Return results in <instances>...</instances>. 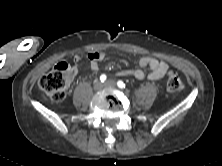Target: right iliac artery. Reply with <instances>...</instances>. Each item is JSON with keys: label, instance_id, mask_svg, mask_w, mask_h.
<instances>
[{"label": "right iliac artery", "instance_id": "1", "mask_svg": "<svg viewBox=\"0 0 222 166\" xmlns=\"http://www.w3.org/2000/svg\"><path fill=\"white\" fill-rule=\"evenodd\" d=\"M106 80V75L105 74H102L101 76H100V81L101 82H104Z\"/></svg>", "mask_w": 222, "mask_h": 166}]
</instances>
